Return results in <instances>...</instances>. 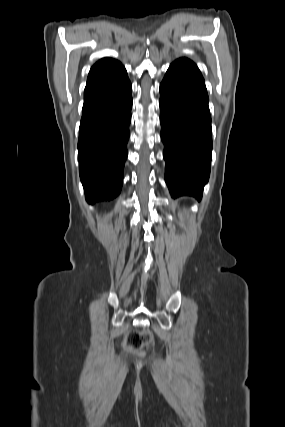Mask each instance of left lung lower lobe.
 Here are the masks:
<instances>
[{"label": "left lung lower lobe", "mask_w": 285, "mask_h": 427, "mask_svg": "<svg viewBox=\"0 0 285 427\" xmlns=\"http://www.w3.org/2000/svg\"><path fill=\"white\" fill-rule=\"evenodd\" d=\"M208 101L198 67L187 58L174 61L160 85L165 181L173 197L201 199L208 182L212 157Z\"/></svg>", "instance_id": "0a47b994"}]
</instances>
